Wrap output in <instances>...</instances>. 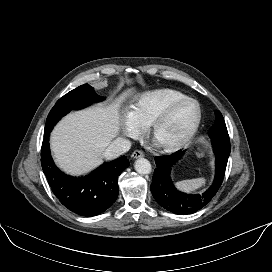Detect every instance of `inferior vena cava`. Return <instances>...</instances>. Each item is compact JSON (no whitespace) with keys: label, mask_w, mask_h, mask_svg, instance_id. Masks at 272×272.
<instances>
[{"label":"inferior vena cava","mask_w":272,"mask_h":272,"mask_svg":"<svg viewBox=\"0 0 272 272\" xmlns=\"http://www.w3.org/2000/svg\"><path fill=\"white\" fill-rule=\"evenodd\" d=\"M131 147L130 141L124 138H117L109 144V146L105 149L103 156L107 160L115 159L129 151Z\"/></svg>","instance_id":"obj_1"}]
</instances>
